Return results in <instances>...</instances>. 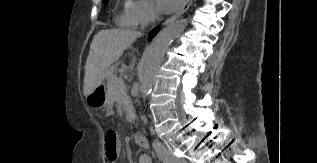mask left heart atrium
<instances>
[{"label":"left heart atrium","mask_w":317,"mask_h":163,"mask_svg":"<svg viewBox=\"0 0 317 163\" xmlns=\"http://www.w3.org/2000/svg\"><path fill=\"white\" fill-rule=\"evenodd\" d=\"M181 2L182 0H155L156 7L163 13L172 12Z\"/></svg>","instance_id":"left-heart-atrium-1"}]
</instances>
